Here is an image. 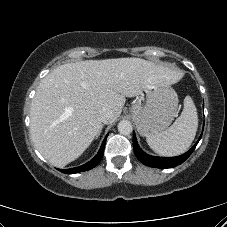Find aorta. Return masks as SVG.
<instances>
[{"instance_id": "aorta-1", "label": "aorta", "mask_w": 227, "mask_h": 227, "mask_svg": "<svg viewBox=\"0 0 227 227\" xmlns=\"http://www.w3.org/2000/svg\"><path fill=\"white\" fill-rule=\"evenodd\" d=\"M133 130L132 124L128 120H122L118 123V131L122 135H129Z\"/></svg>"}]
</instances>
